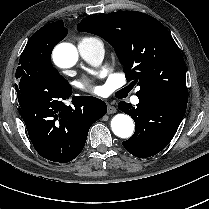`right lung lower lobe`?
Listing matches in <instances>:
<instances>
[{"instance_id": "right-lung-lower-lobe-1", "label": "right lung lower lobe", "mask_w": 209, "mask_h": 209, "mask_svg": "<svg viewBox=\"0 0 209 209\" xmlns=\"http://www.w3.org/2000/svg\"><path fill=\"white\" fill-rule=\"evenodd\" d=\"M19 112L29 138L40 156L67 163L82 151L91 125L107 112L106 104L91 96H73L72 106L62 99L72 95L61 87L32 78L15 85Z\"/></svg>"}]
</instances>
